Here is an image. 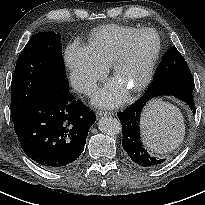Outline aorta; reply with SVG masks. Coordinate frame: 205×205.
Segmentation results:
<instances>
[{
    "label": "aorta",
    "instance_id": "obj_1",
    "mask_svg": "<svg viewBox=\"0 0 205 205\" xmlns=\"http://www.w3.org/2000/svg\"><path fill=\"white\" fill-rule=\"evenodd\" d=\"M99 130L106 135H116L122 130L121 123L114 117H102L98 122Z\"/></svg>",
    "mask_w": 205,
    "mask_h": 205
}]
</instances>
